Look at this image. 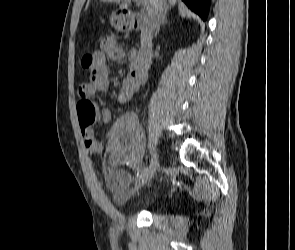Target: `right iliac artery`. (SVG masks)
Masks as SVG:
<instances>
[{
    "label": "right iliac artery",
    "instance_id": "obj_1",
    "mask_svg": "<svg viewBox=\"0 0 295 250\" xmlns=\"http://www.w3.org/2000/svg\"><path fill=\"white\" fill-rule=\"evenodd\" d=\"M153 163H154V161H153V159H152V161H151V165H150L149 167L143 168V169H141L140 171H138V172H137V176H142L143 174H146L147 172H149L150 169H151V167H152V165H153Z\"/></svg>",
    "mask_w": 295,
    "mask_h": 250
}]
</instances>
